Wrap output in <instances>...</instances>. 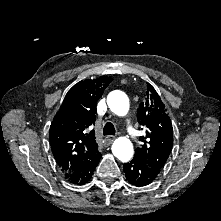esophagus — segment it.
Segmentation results:
<instances>
[{
  "label": "esophagus",
  "mask_w": 221,
  "mask_h": 221,
  "mask_svg": "<svg viewBox=\"0 0 221 221\" xmlns=\"http://www.w3.org/2000/svg\"><path fill=\"white\" fill-rule=\"evenodd\" d=\"M114 139H115V136H106L105 137V141L107 143H112L114 141Z\"/></svg>",
  "instance_id": "obj_1"
}]
</instances>
